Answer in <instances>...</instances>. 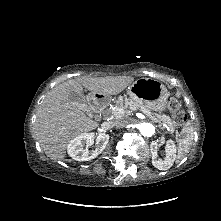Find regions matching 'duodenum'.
Here are the masks:
<instances>
[{
  "label": "duodenum",
  "instance_id": "obj_1",
  "mask_svg": "<svg viewBox=\"0 0 221 221\" xmlns=\"http://www.w3.org/2000/svg\"><path fill=\"white\" fill-rule=\"evenodd\" d=\"M105 97L106 96L104 94H100L97 96H90L88 98V103H89V105H96L97 103L104 101Z\"/></svg>",
  "mask_w": 221,
  "mask_h": 221
}]
</instances>
